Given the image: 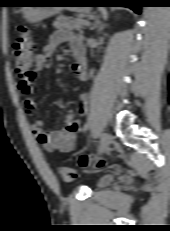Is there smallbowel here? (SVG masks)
Masks as SVG:
<instances>
[{
  "mask_svg": "<svg viewBox=\"0 0 170 231\" xmlns=\"http://www.w3.org/2000/svg\"><path fill=\"white\" fill-rule=\"evenodd\" d=\"M70 42L72 49L81 50L82 46L78 39L65 31H55L50 36L42 53L35 57V71L38 72L50 66L52 55L56 48L63 42ZM74 76L79 81L86 80V73L83 63H74L71 67ZM36 77V76H35ZM35 79V78H34ZM34 79L30 81H20L19 90L24 95V105L29 115H34L37 108V99L34 92ZM87 97L84 92L79 95V113L83 114L86 108ZM80 128V122L74 118L73 113L69 112L63 121V127L60 130H53L44 127L42 120H35L32 124V131L38 142L48 152L60 151L64 153L71 152L76 146L77 132Z\"/></svg>",
  "mask_w": 170,
  "mask_h": 231,
  "instance_id": "c3829d8e",
  "label": "small bowel"
}]
</instances>
